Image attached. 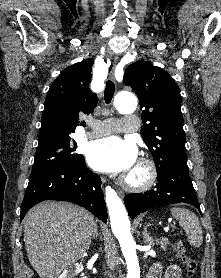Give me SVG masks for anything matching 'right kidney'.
<instances>
[{
    "mask_svg": "<svg viewBox=\"0 0 221 278\" xmlns=\"http://www.w3.org/2000/svg\"><path fill=\"white\" fill-rule=\"evenodd\" d=\"M79 271V264L71 265L58 278H74L79 273Z\"/></svg>",
    "mask_w": 221,
    "mask_h": 278,
    "instance_id": "right-kidney-1",
    "label": "right kidney"
}]
</instances>
